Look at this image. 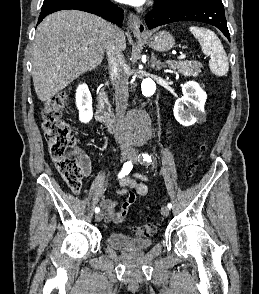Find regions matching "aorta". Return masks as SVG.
<instances>
[{
    "label": "aorta",
    "mask_w": 259,
    "mask_h": 294,
    "mask_svg": "<svg viewBox=\"0 0 259 294\" xmlns=\"http://www.w3.org/2000/svg\"><path fill=\"white\" fill-rule=\"evenodd\" d=\"M142 94L152 96L156 91V84L150 78L143 79L141 83ZM126 133L136 142L147 141L151 137V120L144 111L135 110L125 118Z\"/></svg>",
    "instance_id": "aorta-1"
}]
</instances>
